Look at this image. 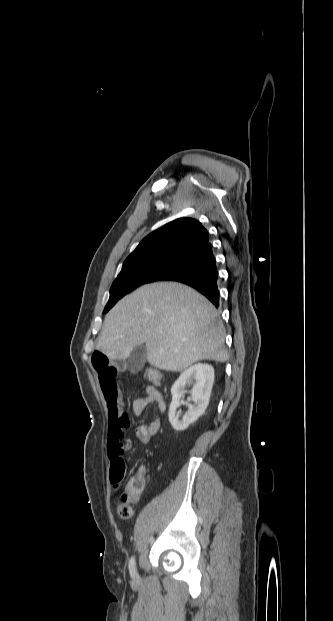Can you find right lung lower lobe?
<instances>
[{"instance_id": "obj_1", "label": "right lung lower lobe", "mask_w": 333, "mask_h": 621, "mask_svg": "<svg viewBox=\"0 0 333 621\" xmlns=\"http://www.w3.org/2000/svg\"><path fill=\"white\" fill-rule=\"evenodd\" d=\"M217 279L218 271L211 243L184 259L177 269L163 278L165 281L180 282L196 289L218 307Z\"/></svg>"}]
</instances>
